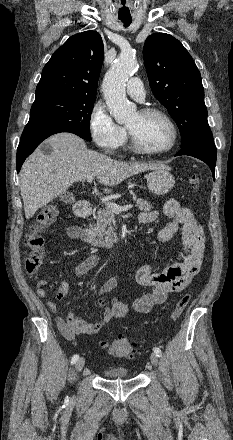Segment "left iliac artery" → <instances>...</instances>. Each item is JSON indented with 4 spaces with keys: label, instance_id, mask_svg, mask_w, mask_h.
<instances>
[{
    "label": "left iliac artery",
    "instance_id": "obj_1",
    "mask_svg": "<svg viewBox=\"0 0 233 440\" xmlns=\"http://www.w3.org/2000/svg\"><path fill=\"white\" fill-rule=\"evenodd\" d=\"M153 351H154V353H156L157 356H159V357L162 355V352H161V350H160L158 347H154V348H153Z\"/></svg>",
    "mask_w": 233,
    "mask_h": 440
}]
</instances>
